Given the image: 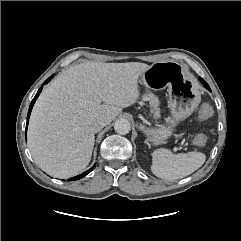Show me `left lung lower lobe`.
I'll return each mask as SVG.
<instances>
[{"instance_id": "1", "label": "left lung lower lobe", "mask_w": 241, "mask_h": 241, "mask_svg": "<svg viewBox=\"0 0 241 241\" xmlns=\"http://www.w3.org/2000/svg\"><path fill=\"white\" fill-rule=\"evenodd\" d=\"M199 79H200V81L204 84V86H205L208 90H210L208 84H207L202 78H199Z\"/></svg>"}]
</instances>
